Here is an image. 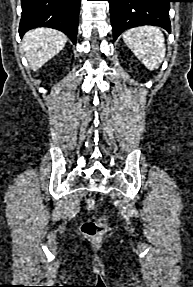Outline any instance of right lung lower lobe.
I'll return each instance as SVG.
<instances>
[{"instance_id":"right-lung-lower-lobe-1","label":"right lung lower lobe","mask_w":193,"mask_h":287,"mask_svg":"<svg viewBox=\"0 0 193 287\" xmlns=\"http://www.w3.org/2000/svg\"><path fill=\"white\" fill-rule=\"evenodd\" d=\"M19 34L37 27L58 29L76 43L80 0H21Z\"/></svg>"}]
</instances>
